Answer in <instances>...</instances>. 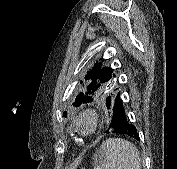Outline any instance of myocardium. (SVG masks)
Instances as JSON below:
<instances>
[{
  "label": "myocardium",
  "instance_id": "f54148a6",
  "mask_svg": "<svg viewBox=\"0 0 177 169\" xmlns=\"http://www.w3.org/2000/svg\"><path fill=\"white\" fill-rule=\"evenodd\" d=\"M97 125V113L91 109L83 110L75 119V126L83 135H91L94 133Z\"/></svg>",
  "mask_w": 177,
  "mask_h": 169
}]
</instances>
